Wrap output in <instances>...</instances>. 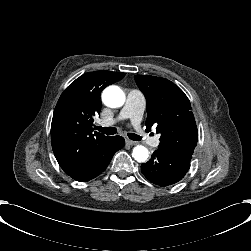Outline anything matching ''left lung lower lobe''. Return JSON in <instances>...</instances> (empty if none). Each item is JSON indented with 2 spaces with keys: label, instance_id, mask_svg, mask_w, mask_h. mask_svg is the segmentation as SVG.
<instances>
[{
  "label": "left lung lower lobe",
  "instance_id": "0a47b994",
  "mask_svg": "<svg viewBox=\"0 0 251 251\" xmlns=\"http://www.w3.org/2000/svg\"><path fill=\"white\" fill-rule=\"evenodd\" d=\"M192 156L157 149L150 161L141 165L143 175L152 183L168 186L180 181L190 168Z\"/></svg>",
  "mask_w": 251,
  "mask_h": 251
}]
</instances>
